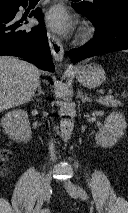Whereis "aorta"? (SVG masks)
<instances>
[{
    "label": "aorta",
    "instance_id": "1",
    "mask_svg": "<svg viewBox=\"0 0 128 213\" xmlns=\"http://www.w3.org/2000/svg\"><path fill=\"white\" fill-rule=\"evenodd\" d=\"M62 99L59 110L60 130L64 141L67 142L74 129L75 104L68 98V91L62 93Z\"/></svg>",
    "mask_w": 128,
    "mask_h": 213
}]
</instances>
